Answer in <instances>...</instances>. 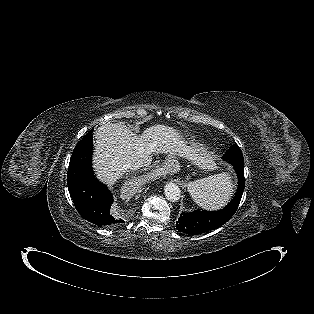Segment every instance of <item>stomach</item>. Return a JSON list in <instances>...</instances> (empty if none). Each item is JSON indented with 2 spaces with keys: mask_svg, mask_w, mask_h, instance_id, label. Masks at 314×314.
<instances>
[{
  "mask_svg": "<svg viewBox=\"0 0 314 314\" xmlns=\"http://www.w3.org/2000/svg\"><path fill=\"white\" fill-rule=\"evenodd\" d=\"M166 165L172 169H179V163L176 160V157H170L166 160Z\"/></svg>",
  "mask_w": 314,
  "mask_h": 314,
  "instance_id": "stomach-1",
  "label": "stomach"
}]
</instances>
